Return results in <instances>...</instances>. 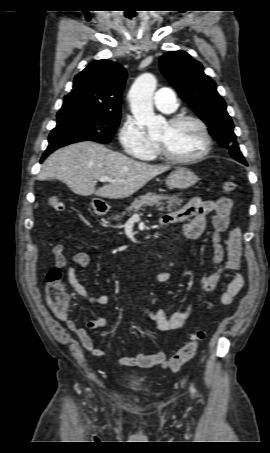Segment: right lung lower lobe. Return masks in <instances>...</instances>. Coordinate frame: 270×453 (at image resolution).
<instances>
[{"mask_svg": "<svg viewBox=\"0 0 270 453\" xmlns=\"http://www.w3.org/2000/svg\"><path fill=\"white\" fill-rule=\"evenodd\" d=\"M59 147H48L46 149V151L44 152L42 158H41V162H43V160L50 154L52 153L53 151H55L56 149H58Z\"/></svg>", "mask_w": 270, "mask_h": 453, "instance_id": "obj_1", "label": "right lung lower lobe"}]
</instances>
